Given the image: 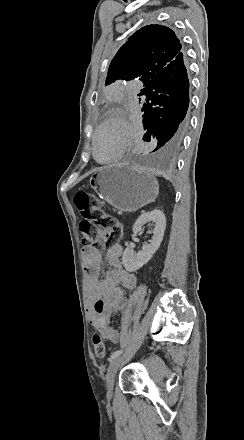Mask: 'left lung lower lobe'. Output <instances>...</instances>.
Masks as SVG:
<instances>
[{
    "instance_id": "1",
    "label": "left lung lower lobe",
    "mask_w": 244,
    "mask_h": 440,
    "mask_svg": "<svg viewBox=\"0 0 244 440\" xmlns=\"http://www.w3.org/2000/svg\"><path fill=\"white\" fill-rule=\"evenodd\" d=\"M138 96H141L139 100L144 103L143 140L157 138V147L152 152L166 154L177 150L190 122L187 114L189 80L184 59L156 74Z\"/></svg>"
}]
</instances>
